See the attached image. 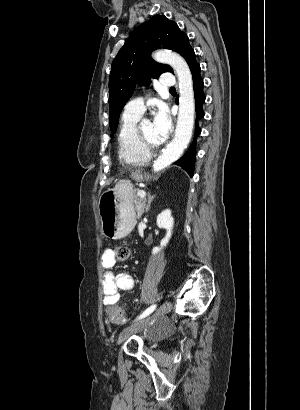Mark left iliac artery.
<instances>
[{
  "label": "left iliac artery",
  "instance_id": "44dca946",
  "mask_svg": "<svg viewBox=\"0 0 300 410\" xmlns=\"http://www.w3.org/2000/svg\"><path fill=\"white\" fill-rule=\"evenodd\" d=\"M156 307H157V305L150 306L136 320L142 319V318L148 316L149 314H151L156 309Z\"/></svg>",
  "mask_w": 300,
  "mask_h": 410
}]
</instances>
